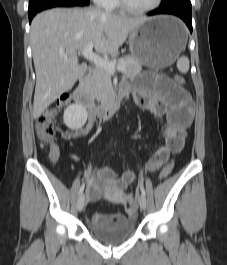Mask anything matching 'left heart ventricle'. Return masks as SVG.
Masks as SVG:
<instances>
[{"mask_svg": "<svg viewBox=\"0 0 227 265\" xmlns=\"http://www.w3.org/2000/svg\"><path fill=\"white\" fill-rule=\"evenodd\" d=\"M128 2L135 8H146L151 6L155 0H128Z\"/></svg>", "mask_w": 227, "mask_h": 265, "instance_id": "1", "label": "left heart ventricle"}]
</instances>
